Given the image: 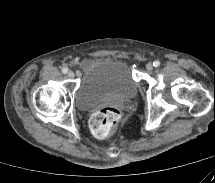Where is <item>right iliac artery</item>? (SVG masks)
<instances>
[{
	"label": "right iliac artery",
	"mask_w": 215,
	"mask_h": 183,
	"mask_svg": "<svg viewBox=\"0 0 215 183\" xmlns=\"http://www.w3.org/2000/svg\"><path fill=\"white\" fill-rule=\"evenodd\" d=\"M67 72H68V69H67V68H63V69H62V73H63V74H66Z\"/></svg>",
	"instance_id": "obj_1"
}]
</instances>
